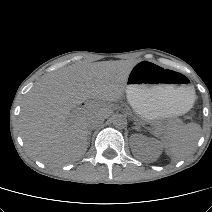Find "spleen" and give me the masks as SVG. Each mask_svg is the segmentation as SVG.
Segmentation results:
<instances>
[{
    "mask_svg": "<svg viewBox=\"0 0 212 212\" xmlns=\"http://www.w3.org/2000/svg\"><path fill=\"white\" fill-rule=\"evenodd\" d=\"M201 133V127L196 123H189L172 135L165 144V152L174 161L190 155Z\"/></svg>",
    "mask_w": 212,
    "mask_h": 212,
    "instance_id": "obj_1",
    "label": "spleen"
}]
</instances>
